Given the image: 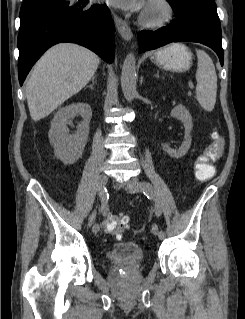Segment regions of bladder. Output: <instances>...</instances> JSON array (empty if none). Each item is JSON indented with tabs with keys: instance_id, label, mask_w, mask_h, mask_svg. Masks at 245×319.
<instances>
[{
	"instance_id": "obj_1",
	"label": "bladder",
	"mask_w": 245,
	"mask_h": 319,
	"mask_svg": "<svg viewBox=\"0 0 245 319\" xmlns=\"http://www.w3.org/2000/svg\"><path fill=\"white\" fill-rule=\"evenodd\" d=\"M107 258L113 264L138 265L142 262L144 254L139 244L121 241L112 245Z\"/></svg>"
}]
</instances>
